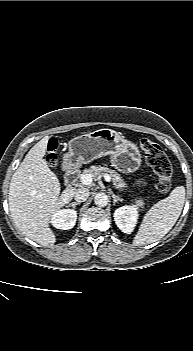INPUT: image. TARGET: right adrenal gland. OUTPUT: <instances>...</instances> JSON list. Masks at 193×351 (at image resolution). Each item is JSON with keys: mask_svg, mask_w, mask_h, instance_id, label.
I'll use <instances>...</instances> for the list:
<instances>
[{"mask_svg": "<svg viewBox=\"0 0 193 351\" xmlns=\"http://www.w3.org/2000/svg\"><path fill=\"white\" fill-rule=\"evenodd\" d=\"M81 202H72L69 204V206H72L73 208H75L76 205H80Z\"/></svg>", "mask_w": 193, "mask_h": 351, "instance_id": "1", "label": "right adrenal gland"}]
</instances>
